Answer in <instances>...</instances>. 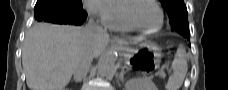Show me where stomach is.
<instances>
[{"label":"stomach","instance_id":"1","mask_svg":"<svg viewBox=\"0 0 228 90\" xmlns=\"http://www.w3.org/2000/svg\"><path fill=\"white\" fill-rule=\"evenodd\" d=\"M124 52L130 54L126 57L127 63L143 70H153L159 67L161 62V49L155 43L146 40L138 49H131L125 42L122 43Z\"/></svg>","mask_w":228,"mask_h":90}]
</instances>
